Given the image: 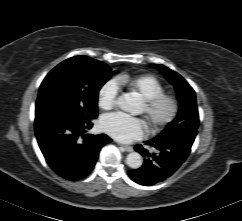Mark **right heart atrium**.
Segmentation results:
<instances>
[{"label":"right heart atrium","instance_id":"obj_1","mask_svg":"<svg viewBox=\"0 0 242 221\" xmlns=\"http://www.w3.org/2000/svg\"><path fill=\"white\" fill-rule=\"evenodd\" d=\"M120 87L113 79L106 81L98 91V105L100 108L111 109L117 101Z\"/></svg>","mask_w":242,"mask_h":221}]
</instances>
